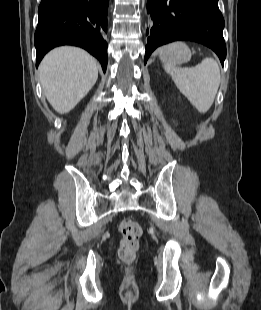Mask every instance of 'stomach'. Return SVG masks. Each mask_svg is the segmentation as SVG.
<instances>
[{"label":"stomach","mask_w":261,"mask_h":310,"mask_svg":"<svg viewBox=\"0 0 261 310\" xmlns=\"http://www.w3.org/2000/svg\"><path fill=\"white\" fill-rule=\"evenodd\" d=\"M159 56L163 63L176 66L190 61L192 53L184 43H174L162 48Z\"/></svg>","instance_id":"1"}]
</instances>
